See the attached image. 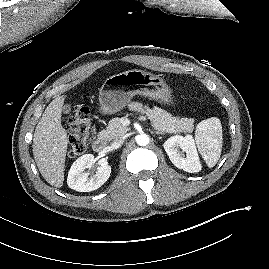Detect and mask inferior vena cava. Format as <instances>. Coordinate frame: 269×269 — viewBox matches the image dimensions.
I'll list each match as a JSON object with an SVG mask.
<instances>
[{"mask_svg":"<svg viewBox=\"0 0 269 269\" xmlns=\"http://www.w3.org/2000/svg\"><path fill=\"white\" fill-rule=\"evenodd\" d=\"M123 142H124L123 138H119L115 140L114 142H112L111 147L113 149H118L123 144Z\"/></svg>","mask_w":269,"mask_h":269,"instance_id":"1","label":"inferior vena cava"}]
</instances>
